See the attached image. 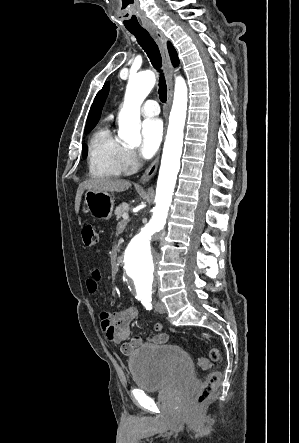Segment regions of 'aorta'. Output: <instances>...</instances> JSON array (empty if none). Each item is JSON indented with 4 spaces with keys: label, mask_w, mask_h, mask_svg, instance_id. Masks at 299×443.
I'll return each mask as SVG.
<instances>
[{
    "label": "aorta",
    "mask_w": 299,
    "mask_h": 443,
    "mask_svg": "<svg viewBox=\"0 0 299 443\" xmlns=\"http://www.w3.org/2000/svg\"><path fill=\"white\" fill-rule=\"evenodd\" d=\"M155 74L145 71L129 77L124 105L118 117V137L127 144L140 142V106L154 87ZM188 89L182 77H176L173 105L164 144L156 187V206L149 222L131 239L124 256V268L132 280V291L141 301L152 299L155 293L156 256L151 240L164 229L172 202L183 148Z\"/></svg>",
    "instance_id": "obj_1"
}]
</instances>
